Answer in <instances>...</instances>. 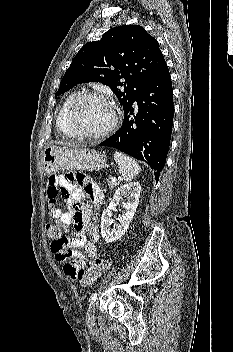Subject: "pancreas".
Listing matches in <instances>:
<instances>
[{
  "mask_svg": "<svg viewBox=\"0 0 233 352\" xmlns=\"http://www.w3.org/2000/svg\"><path fill=\"white\" fill-rule=\"evenodd\" d=\"M119 184V181H116V182H112L111 180L108 181V185L109 187L113 188L114 186H117Z\"/></svg>",
  "mask_w": 233,
  "mask_h": 352,
  "instance_id": "obj_1",
  "label": "pancreas"
}]
</instances>
